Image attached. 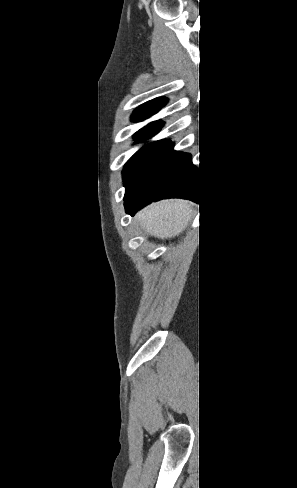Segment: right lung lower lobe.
Returning <instances> with one entry per match:
<instances>
[{
    "label": "right lung lower lobe",
    "instance_id": "98d812e1",
    "mask_svg": "<svg viewBox=\"0 0 297 488\" xmlns=\"http://www.w3.org/2000/svg\"><path fill=\"white\" fill-rule=\"evenodd\" d=\"M198 168L191 155L167 149L153 162L130 194L124 198L126 213L134 215L145 205L167 198H184L198 202L201 195Z\"/></svg>",
    "mask_w": 297,
    "mask_h": 488
}]
</instances>
